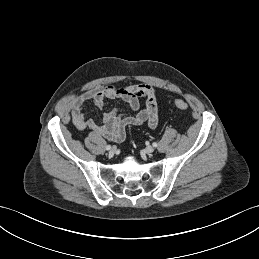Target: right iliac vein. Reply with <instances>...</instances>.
I'll use <instances>...</instances> for the list:
<instances>
[{
  "instance_id": "63e3f726",
  "label": "right iliac vein",
  "mask_w": 259,
  "mask_h": 259,
  "mask_svg": "<svg viewBox=\"0 0 259 259\" xmlns=\"http://www.w3.org/2000/svg\"><path fill=\"white\" fill-rule=\"evenodd\" d=\"M116 153V147H112L109 151V155L113 156Z\"/></svg>"
}]
</instances>
